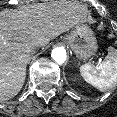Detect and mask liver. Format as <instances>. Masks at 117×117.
<instances>
[{
  "instance_id": "liver-1",
  "label": "liver",
  "mask_w": 117,
  "mask_h": 117,
  "mask_svg": "<svg viewBox=\"0 0 117 117\" xmlns=\"http://www.w3.org/2000/svg\"><path fill=\"white\" fill-rule=\"evenodd\" d=\"M87 8L75 2L40 3L0 11V102L21 90L30 52L86 21Z\"/></svg>"
}]
</instances>
